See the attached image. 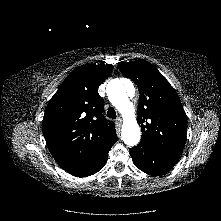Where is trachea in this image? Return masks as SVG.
Segmentation results:
<instances>
[{
  "label": "trachea",
  "mask_w": 221,
  "mask_h": 221,
  "mask_svg": "<svg viewBox=\"0 0 221 221\" xmlns=\"http://www.w3.org/2000/svg\"><path fill=\"white\" fill-rule=\"evenodd\" d=\"M107 117L115 119L117 117L116 115V111L114 110V108H109L107 111Z\"/></svg>",
  "instance_id": "1"
}]
</instances>
